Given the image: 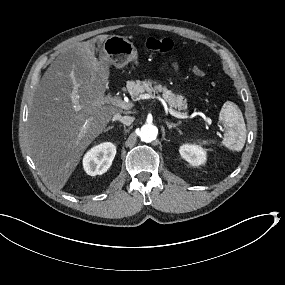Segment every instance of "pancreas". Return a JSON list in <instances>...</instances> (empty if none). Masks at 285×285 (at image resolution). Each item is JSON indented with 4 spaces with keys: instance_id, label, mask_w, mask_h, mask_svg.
I'll return each mask as SVG.
<instances>
[{
    "instance_id": "pancreas-1",
    "label": "pancreas",
    "mask_w": 285,
    "mask_h": 285,
    "mask_svg": "<svg viewBox=\"0 0 285 285\" xmlns=\"http://www.w3.org/2000/svg\"><path fill=\"white\" fill-rule=\"evenodd\" d=\"M125 88L128 94L135 97L139 95L142 97L144 94L142 92L146 91L148 94H152L153 92L160 93L164 95L166 101L169 103L170 107L176 108L178 110L186 109V99L184 96H177L174 92L167 90L161 84H158L156 80H150L148 82H144L141 79L136 81L128 82L125 85Z\"/></svg>"
}]
</instances>
